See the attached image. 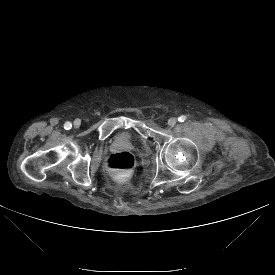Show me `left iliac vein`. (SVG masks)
Instances as JSON below:
<instances>
[{
	"instance_id": "left-iliac-vein-1",
	"label": "left iliac vein",
	"mask_w": 275,
	"mask_h": 275,
	"mask_svg": "<svg viewBox=\"0 0 275 275\" xmlns=\"http://www.w3.org/2000/svg\"><path fill=\"white\" fill-rule=\"evenodd\" d=\"M176 123H177V119H176L175 117H171V118L168 120V125H169V126H174Z\"/></svg>"
}]
</instances>
